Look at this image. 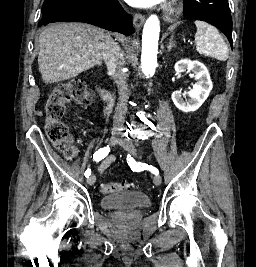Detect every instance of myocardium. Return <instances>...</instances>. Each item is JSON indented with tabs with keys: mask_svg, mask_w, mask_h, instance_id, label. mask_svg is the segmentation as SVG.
<instances>
[{
	"mask_svg": "<svg viewBox=\"0 0 256 267\" xmlns=\"http://www.w3.org/2000/svg\"><path fill=\"white\" fill-rule=\"evenodd\" d=\"M174 8H170V10H169V12H168V14H167V16H166V20L167 21H170V19H171V16L174 14Z\"/></svg>",
	"mask_w": 256,
	"mask_h": 267,
	"instance_id": "f54148a6",
	"label": "myocardium"
}]
</instances>
